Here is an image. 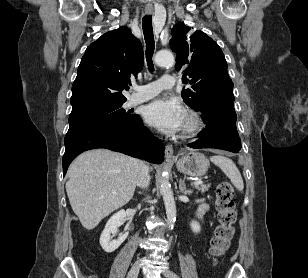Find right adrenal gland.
Masks as SVG:
<instances>
[{
    "mask_svg": "<svg viewBox=\"0 0 308 278\" xmlns=\"http://www.w3.org/2000/svg\"><path fill=\"white\" fill-rule=\"evenodd\" d=\"M138 194H140V195H141V194H143V192L139 191V192H138Z\"/></svg>",
    "mask_w": 308,
    "mask_h": 278,
    "instance_id": "2a0ac1e0",
    "label": "right adrenal gland"
}]
</instances>
